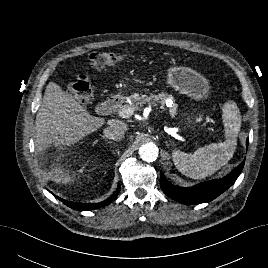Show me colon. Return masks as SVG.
<instances>
[{
    "label": "colon",
    "mask_w": 268,
    "mask_h": 268,
    "mask_svg": "<svg viewBox=\"0 0 268 268\" xmlns=\"http://www.w3.org/2000/svg\"><path fill=\"white\" fill-rule=\"evenodd\" d=\"M90 64L96 69H104L118 65L123 56L113 52H94L90 55ZM73 99L85 102L92 96V85L86 76H79L69 87Z\"/></svg>",
    "instance_id": "colon-1"
}]
</instances>
